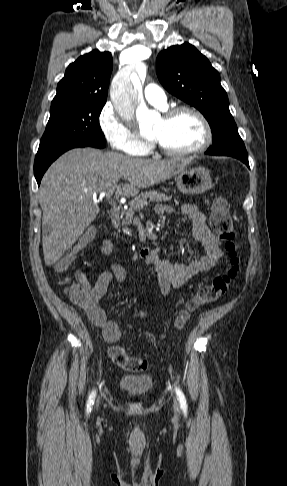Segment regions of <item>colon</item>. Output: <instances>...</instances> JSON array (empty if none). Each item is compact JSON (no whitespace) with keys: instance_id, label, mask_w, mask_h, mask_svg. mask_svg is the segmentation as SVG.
Wrapping results in <instances>:
<instances>
[{"instance_id":"5ec220e1","label":"colon","mask_w":287,"mask_h":486,"mask_svg":"<svg viewBox=\"0 0 287 486\" xmlns=\"http://www.w3.org/2000/svg\"><path fill=\"white\" fill-rule=\"evenodd\" d=\"M210 224L213 232L224 241L229 266L225 273L215 276L210 283L201 287L196 295L186 303L185 307L178 312L174 322L176 329L184 327L192 312L201 306L215 302L221 297L229 289L240 271L239 245L235 239L233 222L226 201L221 197L216 198L213 202ZM93 238L94 230L86 231L79 239L76 248L79 249L88 245ZM74 255L75 252L73 251L58 260L54 266L55 271L57 273L67 271L74 260ZM65 291L75 304L85 306L88 303V293L79 280L68 285ZM109 356L118 367L127 371L141 372L149 368V362L146 359L129 355L120 345L110 348Z\"/></svg>"}]
</instances>
